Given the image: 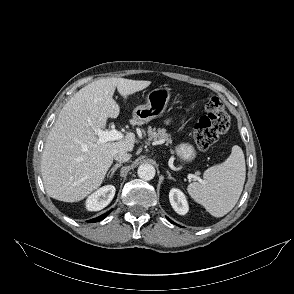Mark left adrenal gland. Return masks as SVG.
<instances>
[{"instance_id":"1","label":"left adrenal gland","mask_w":294,"mask_h":294,"mask_svg":"<svg viewBox=\"0 0 294 294\" xmlns=\"http://www.w3.org/2000/svg\"><path fill=\"white\" fill-rule=\"evenodd\" d=\"M167 174H168V178H169V179L175 180V179L171 176V174H170L169 171H167Z\"/></svg>"}]
</instances>
